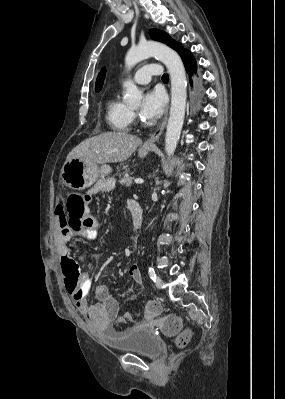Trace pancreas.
<instances>
[{
  "instance_id": "obj_1",
  "label": "pancreas",
  "mask_w": 285,
  "mask_h": 399,
  "mask_svg": "<svg viewBox=\"0 0 285 399\" xmlns=\"http://www.w3.org/2000/svg\"><path fill=\"white\" fill-rule=\"evenodd\" d=\"M120 183L122 185L130 187L132 184V178L128 174H125V176L120 180Z\"/></svg>"
}]
</instances>
